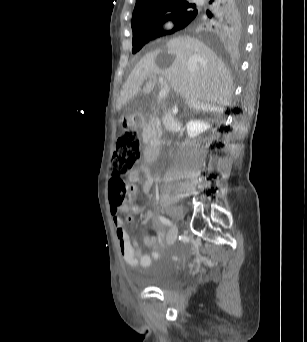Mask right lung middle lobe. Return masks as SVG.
I'll return each instance as SVG.
<instances>
[{
  "mask_svg": "<svg viewBox=\"0 0 307 342\" xmlns=\"http://www.w3.org/2000/svg\"><path fill=\"white\" fill-rule=\"evenodd\" d=\"M171 33L169 31H156V32H145V33H140V34H136L133 35V40H132V44H133V53L138 52L147 42H149L150 40L159 37V36H163L165 34Z\"/></svg>",
  "mask_w": 307,
  "mask_h": 342,
  "instance_id": "right-lung-middle-lobe-1",
  "label": "right lung middle lobe"
}]
</instances>
